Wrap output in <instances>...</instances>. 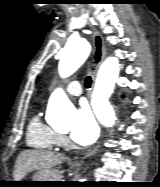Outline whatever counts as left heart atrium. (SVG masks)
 <instances>
[{"mask_svg": "<svg viewBox=\"0 0 160 187\" xmlns=\"http://www.w3.org/2000/svg\"><path fill=\"white\" fill-rule=\"evenodd\" d=\"M99 128L87 105H82L74 120L71 131L72 139L80 145H90L98 137Z\"/></svg>", "mask_w": 160, "mask_h": 187, "instance_id": "39dd6f15", "label": "left heart atrium"}]
</instances>
